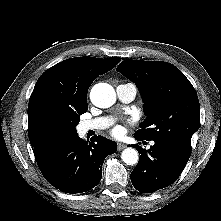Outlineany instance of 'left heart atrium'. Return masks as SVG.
<instances>
[{"mask_svg":"<svg viewBox=\"0 0 221 221\" xmlns=\"http://www.w3.org/2000/svg\"><path fill=\"white\" fill-rule=\"evenodd\" d=\"M121 133H122V129H121L120 127H115V128L113 129V134H114V135L118 136V135H120Z\"/></svg>","mask_w":221,"mask_h":221,"instance_id":"39dd6f15","label":"left heart atrium"}]
</instances>
